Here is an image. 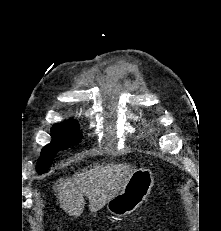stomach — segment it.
Instances as JSON below:
<instances>
[{
  "mask_svg": "<svg viewBox=\"0 0 221 231\" xmlns=\"http://www.w3.org/2000/svg\"><path fill=\"white\" fill-rule=\"evenodd\" d=\"M153 185L151 170H135L122 190L107 202L108 211L118 217L132 213L146 200Z\"/></svg>",
  "mask_w": 221,
  "mask_h": 231,
  "instance_id": "1",
  "label": "stomach"
}]
</instances>
